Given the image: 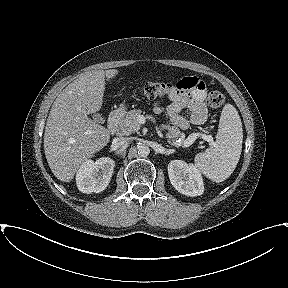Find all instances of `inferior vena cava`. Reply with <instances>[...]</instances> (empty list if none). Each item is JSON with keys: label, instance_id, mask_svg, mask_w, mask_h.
Returning <instances> with one entry per match:
<instances>
[{"label": "inferior vena cava", "instance_id": "1", "mask_svg": "<svg viewBox=\"0 0 288 288\" xmlns=\"http://www.w3.org/2000/svg\"><path fill=\"white\" fill-rule=\"evenodd\" d=\"M131 142V138L128 137H119L113 140V143L118 147H123L129 145Z\"/></svg>", "mask_w": 288, "mask_h": 288}]
</instances>
